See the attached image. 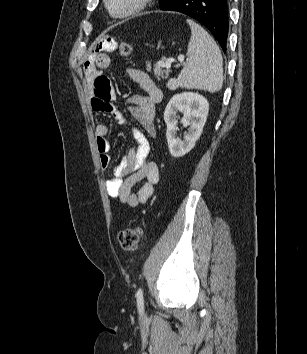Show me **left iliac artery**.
I'll use <instances>...</instances> for the list:
<instances>
[{"label":"left iliac artery","instance_id":"1","mask_svg":"<svg viewBox=\"0 0 307 354\" xmlns=\"http://www.w3.org/2000/svg\"><path fill=\"white\" fill-rule=\"evenodd\" d=\"M137 305L140 311L144 310V299H143V290L141 288L138 289L136 293Z\"/></svg>","mask_w":307,"mask_h":354}]
</instances>
